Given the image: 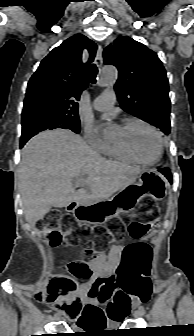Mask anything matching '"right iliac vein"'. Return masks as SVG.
Here are the masks:
<instances>
[{
  "label": "right iliac vein",
  "mask_w": 194,
  "mask_h": 336,
  "mask_svg": "<svg viewBox=\"0 0 194 336\" xmlns=\"http://www.w3.org/2000/svg\"><path fill=\"white\" fill-rule=\"evenodd\" d=\"M55 320H59L60 319V314H55Z\"/></svg>",
  "instance_id": "right-iliac-vein-1"
}]
</instances>
